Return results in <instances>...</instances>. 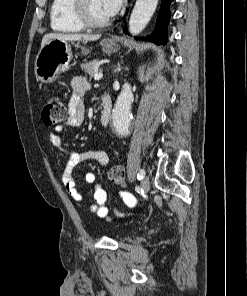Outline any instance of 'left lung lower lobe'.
<instances>
[{"label": "left lung lower lobe", "instance_id": "0a47b994", "mask_svg": "<svg viewBox=\"0 0 247 296\" xmlns=\"http://www.w3.org/2000/svg\"><path fill=\"white\" fill-rule=\"evenodd\" d=\"M172 1L173 0H161V7L157 17L155 30L151 36L143 38L144 40L152 41L156 44L166 43L167 26L171 16L169 5ZM126 32V27H124V33Z\"/></svg>", "mask_w": 247, "mask_h": 296}]
</instances>
